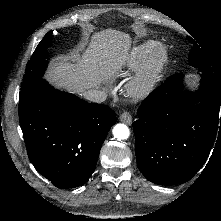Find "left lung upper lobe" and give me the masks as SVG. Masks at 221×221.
Segmentation results:
<instances>
[{
	"label": "left lung upper lobe",
	"instance_id": "5c2ea615",
	"mask_svg": "<svg viewBox=\"0 0 221 221\" xmlns=\"http://www.w3.org/2000/svg\"><path fill=\"white\" fill-rule=\"evenodd\" d=\"M189 63L202 73L214 74L206 55L196 43H193V48L190 51Z\"/></svg>",
	"mask_w": 221,
	"mask_h": 221
}]
</instances>
